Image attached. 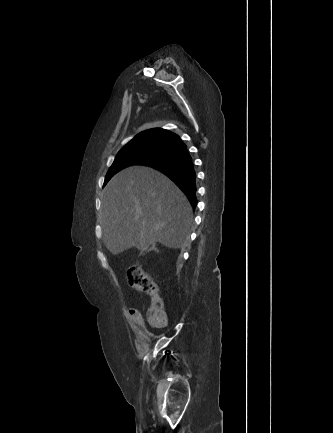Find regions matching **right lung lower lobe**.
I'll use <instances>...</instances> for the list:
<instances>
[{
  "instance_id": "98d812e1",
  "label": "right lung lower lobe",
  "mask_w": 333,
  "mask_h": 433,
  "mask_svg": "<svg viewBox=\"0 0 333 433\" xmlns=\"http://www.w3.org/2000/svg\"><path fill=\"white\" fill-rule=\"evenodd\" d=\"M164 146L171 149L167 156L143 165L156 168L167 175L187 194L191 205L195 207L197 204L196 172L186 144L180 138H176Z\"/></svg>"
}]
</instances>
